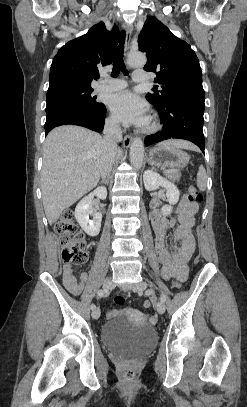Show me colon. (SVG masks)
Returning a JSON list of instances; mask_svg holds the SVG:
<instances>
[{
  "instance_id": "1",
  "label": "colon",
  "mask_w": 247,
  "mask_h": 407,
  "mask_svg": "<svg viewBox=\"0 0 247 407\" xmlns=\"http://www.w3.org/2000/svg\"><path fill=\"white\" fill-rule=\"evenodd\" d=\"M188 200L191 202H201L203 199L202 194L197 190L195 186L188 188ZM55 232L59 235L62 251L61 258L65 264L82 265L87 261V243L83 238L81 232L78 230L71 210L65 211L54 226ZM181 280L173 281V287L179 288L181 286ZM115 304H122L124 298L122 296H115L113 298ZM152 302L146 300L144 307H151ZM136 372L132 368H127L124 371V377L126 380L131 381L135 378Z\"/></svg>"
}]
</instances>
